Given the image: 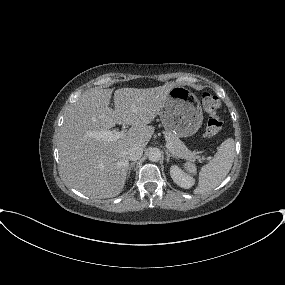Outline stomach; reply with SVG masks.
<instances>
[{
    "mask_svg": "<svg viewBox=\"0 0 285 285\" xmlns=\"http://www.w3.org/2000/svg\"><path fill=\"white\" fill-rule=\"evenodd\" d=\"M159 114L165 130L178 137L194 135L203 121L198 98L182 86H175L169 92Z\"/></svg>",
    "mask_w": 285,
    "mask_h": 285,
    "instance_id": "stomach-1",
    "label": "stomach"
}]
</instances>
